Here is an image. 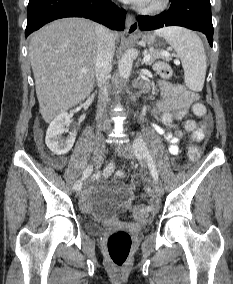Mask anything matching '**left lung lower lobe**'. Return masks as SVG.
<instances>
[{
  "label": "left lung lower lobe",
  "instance_id": "1",
  "mask_svg": "<svg viewBox=\"0 0 233 284\" xmlns=\"http://www.w3.org/2000/svg\"><path fill=\"white\" fill-rule=\"evenodd\" d=\"M172 25L203 32L212 46L210 0H172L170 8L160 15L138 16L140 30H154Z\"/></svg>",
  "mask_w": 233,
  "mask_h": 284
}]
</instances>
